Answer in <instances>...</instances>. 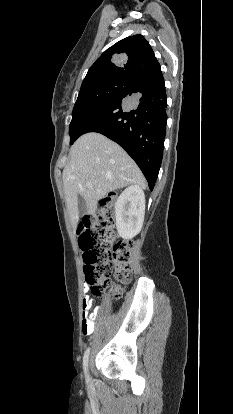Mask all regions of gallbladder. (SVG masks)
Listing matches in <instances>:
<instances>
[{
  "instance_id": "bac80fb5",
  "label": "gallbladder",
  "mask_w": 233,
  "mask_h": 414,
  "mask_svg": "<svg viewBox=\"0 0 233 414\" xmlns=\"http://www.w3.org/2000/svg\"><path fill=\"white\" fill-rule=\"evenodd\" d=\"M87 204L86 201L84 200V198L82 196H79L78 198V213L79 216H84L87 213Z\"/></svg>"
}]
</instances>
